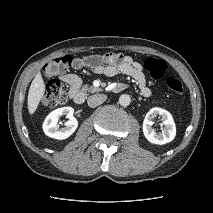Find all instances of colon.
<instances>
[{
	"instance_id": "1",
	"label": "colon",
	"mask_w": 213,
	"mask_h": 213,
	"mask_svg": "<svg viewBox=\"0 0 213 213\" xmlns=\"http://www.w3.org/2000/svg\"><path fill=\"white\" fill-rule=\"evenodd\" d=\"M71 63V56L66 55L54 58L44 65L43 72L45 76L51 78L46 85L45 94L42 100L44 106L54 108L63 106L67 103L68 93L60 81L54 79V77L66 71ZM144 67L152 78L160 79L164 76L167 65L165 61L161 59L148 58L144 62ZM165 84L175 95L181 96L183 94V86L178 79L168 77L165 80Z\"/></svg>"
}]
</instances>
